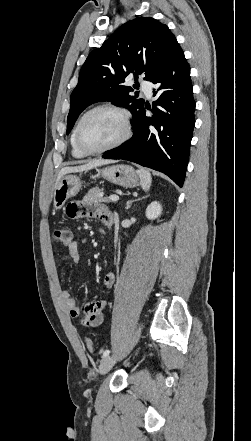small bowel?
I'll return each mask as SVG.
<instances>
[{
    "mask_svg": "<svg viewBox=\"0 0 251 441\" xmlns=\"http://www.w3.org/2000/svg\"><path fill=\"white\" fill-rule=\"evenodd\" d=\"M67 214L73 219L78 218H96L106 225L108 221H113V214L103 206L89 200L74 201L67 207ZM80 261L79 244L72 241L68 245V253L62 258L61 264L68 262L78 263ZM115 282L113 272H107L103 277V283L107 288H111ZM61 298L70 316L76 319L84 327L99 326L104 319V311L107 308L108 300L106 298L98 299L94 302L80 306L76 299L67 290L61 293Z\"/></svg>",
    "mask_w": 251,
    "mask_h": 441,
    "instance_id": "c3829d8e",
    "label": "small bowel"
}]
</instances>
